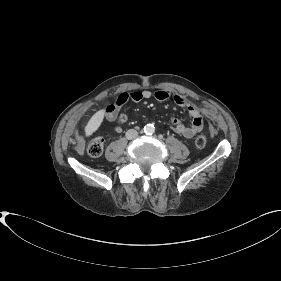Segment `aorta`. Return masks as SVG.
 I'll return each instance as SVG.
<instances>
[{"label":"aorta","mask_w":281,"mask_h":281,"mask_svg":"<svg viewBox=\"0 0 281 281\" xmlns=\"http://www.w3.org/2000/svg\"><path fill=\"white\" fill-rule=\"evenodd\" d=\"M154 131H155V127H154L153 124H146V125L144 126V132H145L146 134L151 135V134L154 133Z\"/></svg>","instance_id":"1"}]
</instances>
